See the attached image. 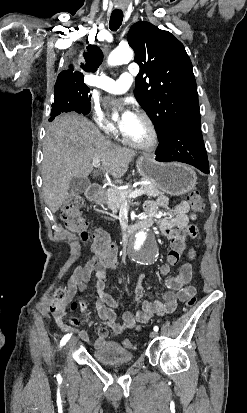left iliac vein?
<instances>
[{
	"mask_svg": "<svg viewBox=\"0 0 247 413\" xmlns=\"http://www.w3.org/2000/svg\"><path fill=\"white\" fill-rule=\"evenodd\" d=\"M156 336H157V332H156V331H152V332L150 333V335H149V337H150L151 339L155 338Z\"/></svg>",
	"mask_w": 247,
	"mask_h": 413,
	"instance_id": "4c4485c4",
	"label": "left iliac vein"
}]
</instances>
